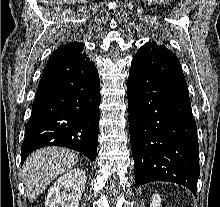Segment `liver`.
<instances>
[{
	"instance_id": "obj_1",
	"label": "liver",
	"mask_w": 220,
	"mask_h": 207,
	"mask_svg": "<svg viewBox=\"0 0 220 207\" xmlns=\"http://www.w3.org/2000/svg\"><path fill=\"white\" fill-rule=\"evenodd\" d=\"M78 156L65 148L45 147L33 152L25 161L22 178L29 201H35L51 181L73 168Z\"/></svg>"
}]
</instances>
